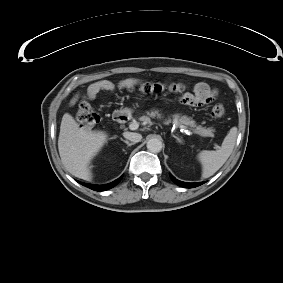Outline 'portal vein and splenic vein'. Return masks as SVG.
I'll list each match as a JSON object with an SVG mask.
<instances>
[{
  "label": "portal vein and splenic vein",
  "mask_w": 283,
  "mask_h": 283,
  "mask_svg": "<svg viewBox=\"0 0 283 283\" xmlns=\"http://www.w3.org/2000/svg\"><path fill=\"white\" fill-rule=\"evenodd\" d=\"M137 127H138V125H137L136 122H131V124H130L131 129H134V128H137ZM181 127H183V126H181Z\"/></svg>",
  "instance_id": "18ae733b"
}]
</instances>
